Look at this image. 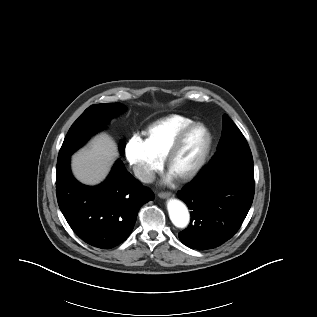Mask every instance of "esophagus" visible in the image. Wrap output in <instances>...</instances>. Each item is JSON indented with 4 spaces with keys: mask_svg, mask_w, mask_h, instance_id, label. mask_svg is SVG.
<instances>
[{
    "mask_svg": "<svg viewBox=\"0 0 317 317\" xmlns=\"http://www.w3.org/2000/svg\"><path fill=\"white\" fill-rule=\"evenodd\" d=\"M171 195H172V194H171L170 192H160V193L158 194V196H159L160 198H163V199L169 198Z\"/></svg>",
    "mask_w": 317,
    "mask_h": 317,
    "instance_id": "obj_1",
    "label": "esophagus"
}]
</instances>
